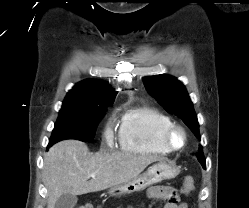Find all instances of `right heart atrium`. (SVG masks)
Instances as JSON below:
<instances>
[{"instance_id": "d8ad5b80", "label": "right heart atrium", "mask_w": 249, "mask_h": 208, "mask_svg": "<svg viewBox=\"0 0 249 208\" xmlns=\"http://www.w3.org/2000/svg\"><path fill=\"white\" fill-rule=\"evenodd\" d=\"M104 139L108 145L112 144L113 142V131L109 124L106 125L104 129Z\"/></svg>"}]
</instances>
